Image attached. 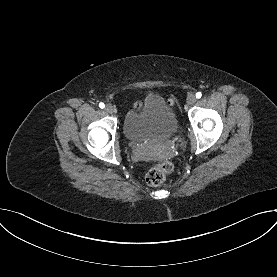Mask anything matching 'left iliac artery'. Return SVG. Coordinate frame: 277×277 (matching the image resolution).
<instances>
[{"instance_id": "44dca946", "label": "left iliac artery", "mask_w": 277, "mask_h": 277, "mask_svg": "<svg viewBox=\"0 0 277 277\" xmlns=\"http://www.w3.org/2000/svg\"><path fill=\"white\" fill-rule=\"evenodd\" d=\"M201 96H202L201 92H197V93H196V98L199 99V98H201Z\"/></svg>"}]
</instances>
